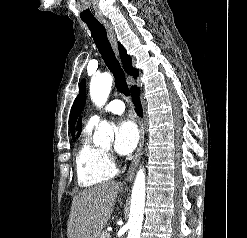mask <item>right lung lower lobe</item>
Instances as JSON below:
<instances>
[{"label": "right lung lower lobe", "mask_w": 247, "mask_h": 238, "mask_svg": "<svg viewBox=\"0 0 247 238\" xmlns=\"http://www.w3.org/2000/svg\"><path fill=\"white\" fill-rule=\"evenodd\" d=\"M131 95H132L133 102L137 108L138 115L142 116L143 112H142V105L139 99V89L136 86H133L131 88Z\"/></svg>", "instance_id": "obj_1"}]
</instances>
